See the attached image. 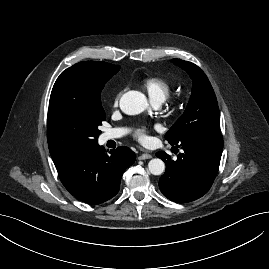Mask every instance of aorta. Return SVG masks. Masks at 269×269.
Instances as JSON below:
<instances>
[{
    "mask_svg": "<svg viewBox=\"0 0 269 269\" xmlns=\"http://www.w3.org/2000/svg\"><path fill=\"white\" fill-rule=\"evenodd\" d=\"M147 107V99L139 91H128L120 99V108L128 115L140 114ZM148 169L153 175H161L165 171V163L159 158H154L149 161Z\"/></svg>",
    "mask_w": 269,
    "mask_h": 269,
    "instance_id": "obj_1",
    "label": "aorta"
}]
</instances>
